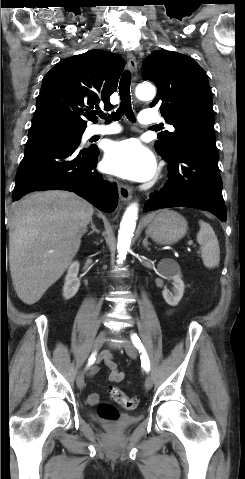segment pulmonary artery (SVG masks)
<instances>
[{"mask_svg":"<svg viewBox=\"0 0 245 479\" xmlns=\"http://www.w3.org/2000/svg\"><path fill=\"white\" fill-rule=\"evenodd\" d=\"M161 117L157 114L154 109H145L142 110L139 114V121L142 124L155 126V124L161 122ZM168 129L170 131L174 130V127L169 125ZM120 131L119 125L112 123L109 125H94L91 127L89 134L90 135H110L115 134Z\"/></svg>","mask_w":245,"mask_h":479,"instance_id":"1","label":"pulmonary artery"}]
</instances>
